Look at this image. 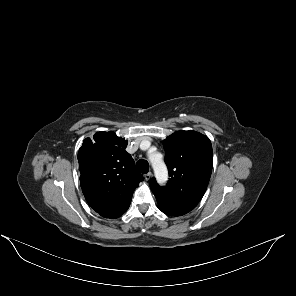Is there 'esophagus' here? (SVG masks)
<instances>
[{
  "mask_svg": "<svg viewBox=\"0 0 296 296\" xmlns=\"http://www.w3.org/2000/svg\"><path fill=\"white\" fill-rule=\"evenodd\" d=\"M151 176H152L151 172H148L147 174L144 175V178H145V180L148 181V180H150Z\"/></svg>",
  "mask_w": 296,
  "mask_h": 296,
  "instance_id": "esophagus-1",
  "label": "esophagus"
}]
</instances>
